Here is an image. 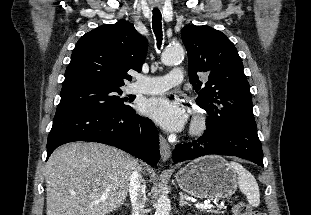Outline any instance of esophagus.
<instances>
[{
	"instance_id": "obj_1",
	"label": "esophagus",
	"mask_w": 311,
	"mask_h": 215,
	"mask_svg": "<svg viewBox=\"0 0 311 215\" xmlns=\"http://www.w3.org/2000/svg\"><path fill=\"white\" fill-rule=\"evenodd\" d=\"M160 140V154L163 161H167L171 156V147L167 142L166 138L161 134L159 135Z\"/></svg>"
}]
</instances>
